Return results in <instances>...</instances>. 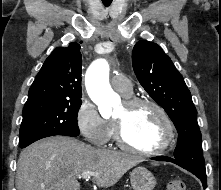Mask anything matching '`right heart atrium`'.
Returning a JSON list of instances; mask_svg holds the SVG:
<instances>
[{"label": "right heart atrium", "mask_w": 221, "mask_h": 190, "mask_svg": "<svg viewBox=\"0 0 221 190\" xmlns=\"http://www.w3.org/2000/svg\"><path fill=\"white\" fill-rule=\"evenodd\" d=\"M76 125L83 137L94 146L104 147L111 139L112 123L100 115L88 98H82L78 106Z\"/></svg>", "instance_id": "1"}]
</instances>
